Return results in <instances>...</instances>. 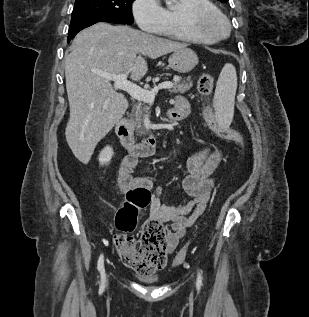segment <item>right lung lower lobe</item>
<instances>
[{"label": "right lung lower lobe", "mask_w": 309, "mask_h": 317, "mask_svg": "<svg viewBox=\"0 0 309 317\" xmlns=\"http://www.w3.org/2000/svg\"><path fill=\"white\" fill-rule=\"evenodd\" d=\"M97 22H109V23H116L118 22L110 20V19H105V18H84V19H79L71 22L70 28H69V33H68V40L67 42L69 43L72 38L75 37V35L82 29L89 27Z\"/></svg>", "instance_id": "obj_1"}]
</instances>
